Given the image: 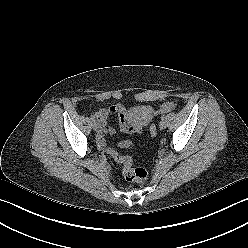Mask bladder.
I'll return each instance as SVG.
<instances>
[{"mask_svg": "<svg viewBox=\"0 0 248 248\" xmlns=\"http://www.w3.org/2000/svg\"><path fill=\"white\" fill-rule=\"evenodd\" d=\"M126 114L131 125L143 126L150 120L149 111L143 109H131Z\"/></svg>", "mask_w": 248, "mask_h": 248, "instance_id": "1", "label": "bladder"}]
</instances>
